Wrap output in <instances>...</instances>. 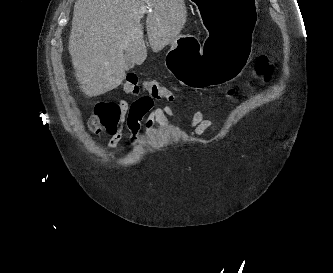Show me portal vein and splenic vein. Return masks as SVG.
I'll use <instances>...</instances> for the list:
<instances>
[{
	"label": "portal vein and splenic vein",
	"instance_id": "1",
	"mask_svg": "<svg viewBox=\"0 0 333 273\" xmlns=\"http://www.w3.org/2000/svg\"><path fill=\"white\" fill-rule=\"evenodd\" d=\"M147 11H151V9L148 6H144L139 9V13L141 14H144Z\"/></svg>",
	"mask_w": 333,
	"mask_h": 273
}]
</instances>
